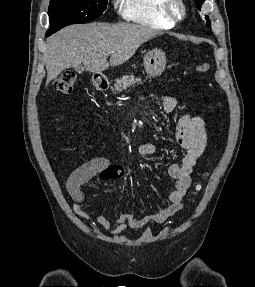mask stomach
Returning <instances> with one entry per match:
<instances>
[{
	"label": "stomach",
	"instance_id": "stomach-1",
	"mask_svg": "<svg viewBox=\"0 0 255 287\" xmlns=\"http://www.w3.org/2000/svg\"><path fill=\"white\" fill-rule=\"evenodd\" d=\"M144 66L148 74V78H155V76H161L166 66V54L159 48H153L149 50L146 56H144Z\"/></svg>",
	"mask_w": 255,
	"mask_h": 287
}]
</instances>
